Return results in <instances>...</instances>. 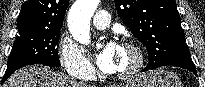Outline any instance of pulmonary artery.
<instances>
[{"label":"pulmonary artery","instance_id":"1","mask_svg":"<svg viewBox=\"0 0 205 87\" xmlns=\"http://www.w3.org/2000/svg\"><path fill=\"white\" fill-rule=\"evenodd\" d=\"M110 22V14L105 10L97 11L92 19V24L97 29H105L109 27Z\"/></svg>","mask_w":205,"mask_h":87}]
</instances>
